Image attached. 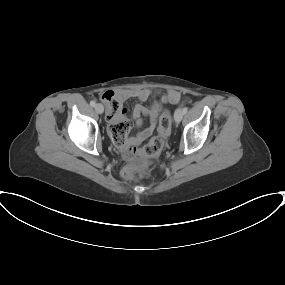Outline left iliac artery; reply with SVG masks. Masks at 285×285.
Wrapping results in <instances>:
<instances>
[{"label":"left iliac artery","mask_w":285,"mask_h":285,"mask_svg":"<svg viewBox=\"0 0 285 285\" xmlns=\"http://www.w3.org/2000/svg\"><path fill=\"white\" fill-rule=\"evenodd\" d=\"M182 111H183V114H186L187 111H188V108H187V107H184Z\"/></svg>","instance_id":"left-iliac-artery-1"}]
</instances>
